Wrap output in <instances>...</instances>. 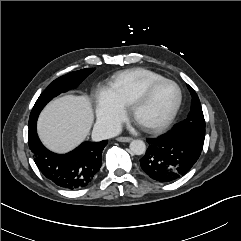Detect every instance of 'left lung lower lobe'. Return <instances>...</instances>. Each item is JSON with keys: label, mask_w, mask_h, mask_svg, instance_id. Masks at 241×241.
Masks as SVG:
<instances>
[{"label": "left lung lower lobe", "mask_w": 241, "mask_h": 241, "mask_svg": "<svg viewBox=\"0 0 241 241\" xmlns=\"http://www.w3.org/2000/svg\"><path fill=\"white\" fill-rule=\"evenodd\" d=\"M147 142L149 147L140 165L146 175L159 182H172L184 176L202 150L186 135L173 131Z\"/></svg>", "instance_id": "0a47b994"}]
</instances>
